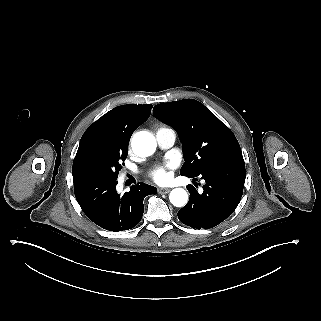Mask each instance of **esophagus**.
Listing matches in <instances>:
<instances>
[{
	"label": "esophagus",
	"instance_id": "34e87169",
	"mask_svg": "<svg viewBox=\"0 0 321 321\" xmlns=\"http://www.w3.org/2000/svg\"><path fill=\"white\" fill-rule=\"evenodd\" d=\"M171 191V188H169V187H160L159 189H158V192L160 193V194H167V193H169Z\"/></svg>",
	"mask_w": 321,
	"mask_h": 321
}]
</instances>
